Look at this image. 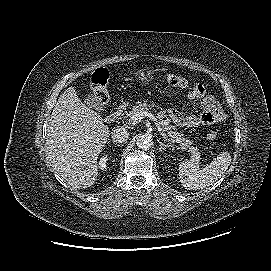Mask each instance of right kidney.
<instances>
[{"instance_id":"right-kidney-1","label":"right kidney","mask_w":271,"mask_h":271,"mask_svg":"<svg viewBox=\"0 0 271 271\" xmlns=\"http://www.w3.org/2000/svg\"><path fill=\"white\" fill-rule=\"evenodd\" d=\"M107 161H108V155H107V154L103 155V156L100 158L98 164H99V168H100L101 170H104V169L106 168V163H107Z\"/></svg>"}]
</instances>
